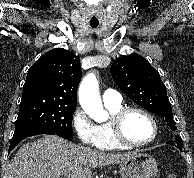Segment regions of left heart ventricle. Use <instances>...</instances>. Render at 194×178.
Wrapping results in <instances>:
<instances>
[{"mask_svg": "<svg viewBox=\"0 0 194 178\" xmlns=\"http://www.w3.org/2000/svg\"><path fill=\"white\" fill-rule=\"evenodd\" d=\"M126 137L135 143H143L153 136V126L149 119L141 113H130L124 123Z\"/></svg>", "mask_w": 194, "mask_h": 178, "instance_id": "left-heart-ventricle-1", "label": "left heart ventricle"}]
</instances>
